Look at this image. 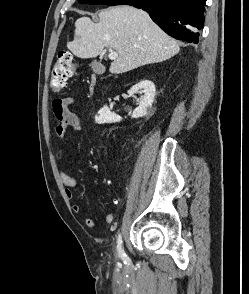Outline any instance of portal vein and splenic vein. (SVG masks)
Returning a JSON list of instances; mask_svg holds the SVG:
<instances>
[{"mask_svg":"<svg viewBox=\"0 0 249 294\" xmlns=\"http://www.w3.org/2000/svg\"><path fill=\"white\" fill-rule=\"evenodd\" d=\"M110 60H115L118 57V53L112 49H109V55Z\"/></svg>","mask_w":249,"mask_h":294,"instance_id":"1","label":"portal vein and splenic vein"}]
</instances>
